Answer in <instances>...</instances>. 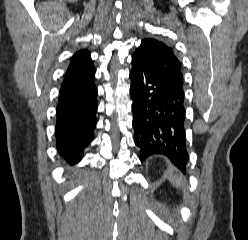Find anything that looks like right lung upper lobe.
I'll return each instance as SVG.
<instances>
[{
    "instance_id": "obj_1",
    "label": "right lung upper lobe",
    "mask_w": 248,
    "mask_h": 240,
    "mask_svg": "<svg viewBox=\"0 0 248 240\" xmlns=\"http://www.w3.org/2000/svg\"><path fill=\"white\" fill-rule=\"evenodd\" d=\"M93 68L94 66L89 52L80 50L72 56L70 65L64 76V81L84 74Z\"/></svg>"
}]
</instances>
